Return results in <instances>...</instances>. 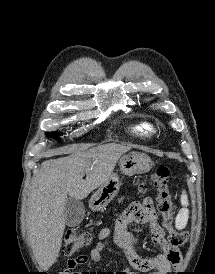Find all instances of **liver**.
Here are the masks:
<instances>
[{
  "instance_id": "1",
  "label": "liver",
  "mask_w": 215,
  "mask_h": 274,
  "mask_svg": "<svg viewBox=\"0 0 215 274\" xmlns=\"http://www.w3.org/2000/svg\"><path fill=\"white\" fill-rule=\"evenodd\" d=\"M128 150L117 144L59 150L49 155L71 154L42 163L30 185L26 215L29 243L42 270H48L58 257L68 195L85 199L111 177L117 161ZM83 172H86L85 180Z\"/></svg>"
}]
</instances>
